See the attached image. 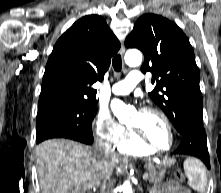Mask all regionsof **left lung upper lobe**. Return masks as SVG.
Returning a JSON list of instances; mask_svg holds the SVG:
<instances>
[{"mask_svg":"<svg viewBox=\"0 0 221 193\" xmlns=\"http://www.w3.org/2000/svg\"><path fill=\"white\" fill-rule=\"evenodd\" d=\"M125 45L144 53L141 71L152 72V82L157 81L149 96L181 135L202 121L196 116L203 109L199 70L192 46L176 24L160 15L144 14Z\"/></svg>","mask_w":221,"mask_h":193,"instance_id":"1","label":"left lung upper lobe"}]
</instances>
